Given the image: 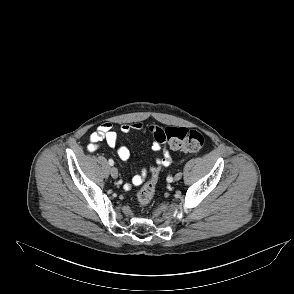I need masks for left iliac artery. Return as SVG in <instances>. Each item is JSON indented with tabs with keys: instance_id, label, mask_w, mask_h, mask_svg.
<instances>
[{
	"instance_id": "obj_1",
	"label": "left iliac artery",
	"mask_w": 294,
	"mask_h": 294,
	"mask_svg": "<svg viewBox=\"0 0 294 294\" xmlns=\"http://www.w3.org/2000/svg\"><path fill=\"white\" fill-rule=\"evenodd\" d=\"M172 179H173L172 176L169 175V176H167L166 181H167V182H171Z\"/></svg>"
}]
</instances>
